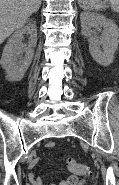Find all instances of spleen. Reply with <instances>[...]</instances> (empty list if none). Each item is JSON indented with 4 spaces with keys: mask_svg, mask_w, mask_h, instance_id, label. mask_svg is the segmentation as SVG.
Masks as SVG:
<instances>
[{
    "mask_svg": "<svg viewBox=\"0 0 119 185\" xmlns=\"http://www.w3.org/2000/svg\"><path fill=\"white\" fill-rule=\"evenodd\" d=\"M109 2L111 9L119 13V0H78L80 7L85 11H98L106 7Z\"/></svg>",
    "mask_w": 119,
    "mask_h": 185,
    "instance_id": "1",
    "label": "spleen"
}]
</instances>
